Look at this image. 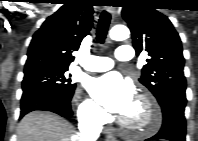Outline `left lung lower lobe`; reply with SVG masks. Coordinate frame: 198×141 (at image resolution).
<instances>
[{
	"instance_id": "obj_1",
	"label": "left lung lower lobe",
	"mask_w": 198,
	"mask_h": 141,
	"mask_svg": "<svg viewBox=\"0 0 198 141\" xmlns=\"http://www.w3.org/2000/svg\"><path fill=\"white\" fill-rule=\"evenodd\" d=\"M186 102L187 100L184 97H173L160 104L163 113V124L158 134L148 140L185 141L184 109Z\"/></svg>"
}]
</instances>
